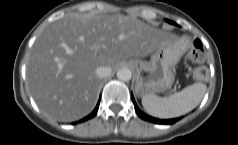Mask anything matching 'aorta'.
I'll list each match as a JSON object with an SVG mask.
<instances>
[{
    "label": "aorta",
    "mask_w": 238,
    "mask_h": 145,
    "mask_svg": "<svg viewBox=\"0 0 238 145\" xmlns=\"http://www.w3.org/2000/svg\"><path fill=\"white\" fill-rule=\"evenodd\" d=\"M131 77L132 73L128 68H121L117 71V78L121 81H129Z\"/></svg>",
    "instance_id": "obj_1"
}]
</instances>
